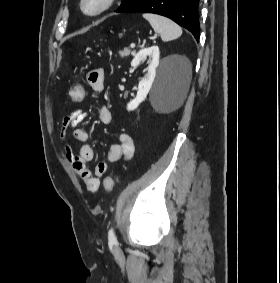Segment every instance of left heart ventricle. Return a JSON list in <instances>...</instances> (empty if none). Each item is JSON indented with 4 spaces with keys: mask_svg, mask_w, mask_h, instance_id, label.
Here are the masks:
<instances>
[{
    "mask_svg": "<svg viewBox=\"0 0 280 283\" xmlns=\"http://www.w3.org/2000/svg\"><path fill=\"white\" fill-rule=\"evenodd\" d=\"M98 4V0H88L87 3V9L92 10L94 9Z\"/></svg>",
    "mask_w": 280,
    "mask_h": 283,
    "instance_id": "b2bd125f",
    "label": "left heart ventricle"
}]
</instances>
